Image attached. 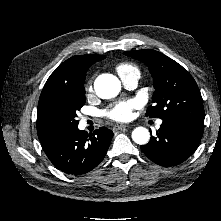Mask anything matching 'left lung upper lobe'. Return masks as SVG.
<instances>
[{
    "label": "left lung upper lobe",
    "instance_id": "obj_1",
    "mask_svg": "<svg viewBox=\"0 0 221 221\" xmlns=\"http://www.w3.org/2000/svg\"><path fill=\"white\" fill-rule=\"evenodd\" d=\"M124 54L142 61L153 77L154 105L148 107L146 116L162 120H204L203 100L197 83L180 64L152 49L127 51Z\"/></svg>",
    "mask_w": 221,
    "mask_h": 221
}]
</instances>
